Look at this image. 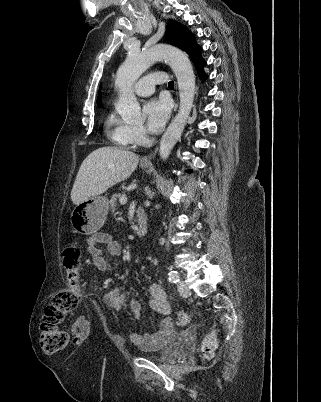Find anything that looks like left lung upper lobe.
<instances>
[{
	"instance_id": "5c2ea615",
	"label": "left lung upper lobe",
	"mask_w": 321,
	"mask_h": 402,
	"mask_svg": "<svg viewBox=\"0 0 321 402\" xmlns=\"http://www.w3.org/2000/svg\"><path fill=\"white\" fill-rule=\"evenodd\" d=\"M166 41L190 54L197 46L194 36L183 25L176 21H169L165 32Z\"/></svg>"
}]
</instances>
